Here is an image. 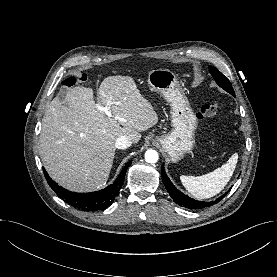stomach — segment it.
Wrapping results in <instances>:
<instances>
[{
	"label": "stomach",
	"instance_id": "obj_1",
	"mask_svg": "<svg viewBox=\"0 0 277 277\" xmlns=\"http://www.w3.org/2000/svg\"><path fill=\"white\" fill-rule=\"evenodd\" d=\"M147 84L152 91L161 94L171 107L173 129L166 135L156 137L155 141L173 162H177L193 149L198 120L173 72L153 70L148 75Z\"/></svg>",
	"mask_w": 277,
	"mask_h": 277
}]
</instances>
